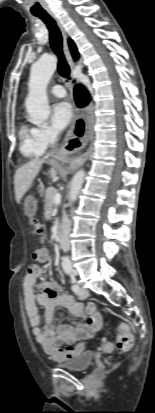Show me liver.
<instances>
[{
  "label": "liver",
  "mask_w": 155,
  "mask_h": 413,
  "mask_svg": "<svg viewBox=\"0 0 155 413\" xmlns=\"http://www.w3.org/2000/svg\"><path fill=\"white\" fill-rule=\"evenodd\" d=\"M45 162V158H35L17 169L14 176L15 199L17 203H20L23 195L31 187Z\"/></svg>",
  "instance_id": "1"
}]
</instances>
